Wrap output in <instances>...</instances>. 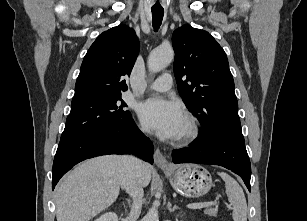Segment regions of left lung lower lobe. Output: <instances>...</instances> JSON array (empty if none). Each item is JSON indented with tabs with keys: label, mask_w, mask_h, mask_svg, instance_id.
<instances>
[{
	"label": "left lung lower lobe",
	"mask_w": 307,
	"mask_h": 221,
	"mask_svg": "<svg viewBox=\"0 0 307 221\" xmlns=\"http://www.w3.org/2000/svg\"><path fill=\"white\" fill-rule=\"evenodd\" d=\"M174 163L220 165L238 174L248 190L251 164L244 143L222 135L200 136L189 148L172 151Z\"/></svg>",
	"instance_id": "left-lung-lower-lobe-1"
}]
</instances>
